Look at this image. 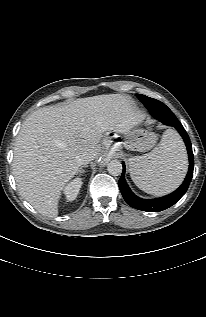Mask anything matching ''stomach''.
<instances>
[{"mask_svg":"<svg viewBox=\"0 0 206 317\" xmlns=\"http://www.w3.org/2000/svg\"><path fill=\"white\" fill-rule=\"evenodd\" d=\"M126 149L132 151H146L152 147V133L142 128H131L125 133Z\"/></svg>","mask_w":206,"mask_h":317,"instance_id":"stomach-1","label":"stomach"}]
</instances>
